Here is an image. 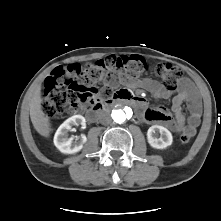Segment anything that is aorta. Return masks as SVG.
<instances>
[{
  "mask_svg": "<svg viewBox=\"0 0 221 221\" xmlns=\"http://www.w3.org/2000/svg\"><path fill=\"white\" fill-rule=\"evenodd\" d=\"M131 109L124 108V109H117L112 111V119L119 124L124 123L130 116H131Z\"/></svg>",
  "mask_w": 221,
  "mask_h": 221,
  "instance_id": "762f6f07",
  "label": "aorta"
}]
</instances>
